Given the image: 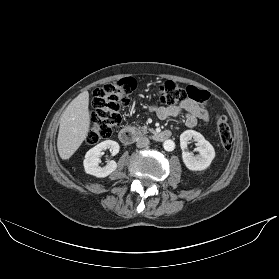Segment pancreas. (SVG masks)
I'll use <instances>...</instances> for the list:
<instances>
[{"mask_svg": "<svg viewBox=\"0 0 279 279\" xmlns=\"http://www.w3.org/2000/svg\"><path fill=\"white\" fill-rule=\"evenodd\" d=\"M141 128V130H142V132H144V133H146L147 132V125H144V126H142V127H140Z\"/></svg>", "mask_w": 279, "mask_h": 279, "instance_id": "pancreas-1", "label": "pancreas"}]
</instances>
